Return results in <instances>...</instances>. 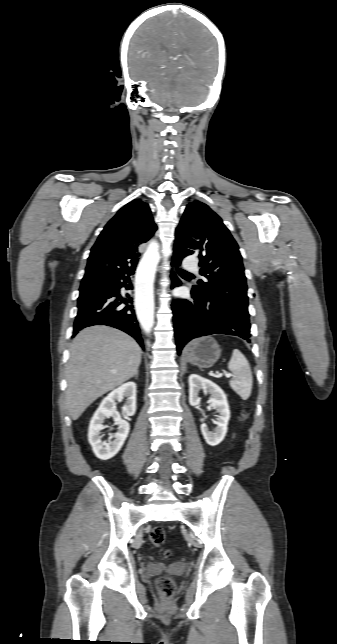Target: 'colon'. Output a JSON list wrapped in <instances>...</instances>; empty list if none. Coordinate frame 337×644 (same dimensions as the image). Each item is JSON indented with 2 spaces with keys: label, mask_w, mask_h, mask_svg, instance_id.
Returning a JSON list of instances; mask_svg holds the SVG:
<instances>
[{
  "label": "colon",
  "mask_w": 337,
  "mask_h": 644,
  "mask_svg": "<svg viewBox=\"0 0 337 644\" xmlns=\"http://www.w3.org/2000/svg\"><path fill=\"white\" fill-rule=\"evenodd\" d=\"M247 413L246 411H243L241 413V420L246 419ZM165 540V533L164 530L160 527H155L154 529L151 530L149 534V542L152 546L154 547H159L164 543ZM167 557L169 556L168 554L166 555ZM158 591L160 594L161 599L164 602H168L175 590V584L173 580L169 577L162 576L158 579L157 583Z\"/></svg>",
  "instance_id": "1"
}]
</instances>
